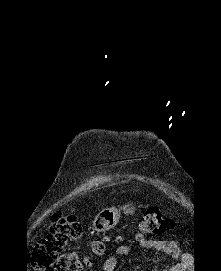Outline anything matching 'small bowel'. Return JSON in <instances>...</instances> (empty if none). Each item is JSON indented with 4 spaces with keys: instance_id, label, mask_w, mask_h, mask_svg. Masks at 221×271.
<instances>
[{
    "instance_id": "obj_1",
    "label": "small bowel",
    "mask_w": 221,
    "mask_h": 271,
    "mask_svg": "<svg viewBox=\"0 0 221 271\" xmlns=\"http://www.w3.org/2000/svg\"><path fill=\"white\" fill-rule=\"evenodd\" d=\"M140 246L143 249L150 250H158L162 251L172 257V259H177L179 257V250L176 241L169 239H141ZM129 252L128 246H120L116 250L117 255H125ZM190 256L188 254L182 255V262L173 266L169 271H187L188 265L190 263ZM117 264L116 257H108L106 258L101 266L102 271H114Z\"/></svg>"
}]
</instances>
